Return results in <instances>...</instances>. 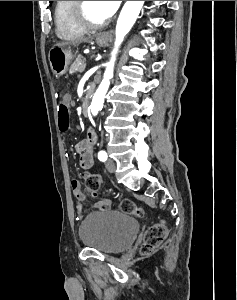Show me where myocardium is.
<instances>
[{"label": "myocardium", "instance_id": "myocardium-1", "mask_svg": "<svg viewBox=\"0 0 237 300\" xmlns=\"http://www.w3.org/2000/svg\"><path fill=\"white\" fill-rule=\"evenodd\" d=\"M72 15L74 21L86 30L99 29L111 22V18H108L101 22H94L89 19L85 12V1H73Z\"/></svg>", "mask_w": 237, "mask_h": 300}]
</instances>
